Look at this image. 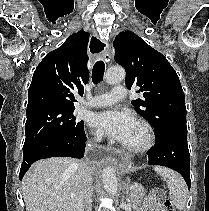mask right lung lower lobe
Segmentation results:
<instances>
[{"instance_id": "right-lung-lower-lobe-1", "label": "right lung lower lobe", "mask_w": 209, "mask_h": 211, "mask_svg": "<svg viewBox=\"0 0 209 211\" xmlns=\"http://www.w3.org/2000/svg\"><path fill=\"white\" fill-rule=\"evenodd\" d=\"M85 141L86 136L83 131L76 136L56 138L35 147L23 155L19 179L21 180L30 165L39 159L59 156L82 158L84 156Z\"/></svg>"}]
</instances>
